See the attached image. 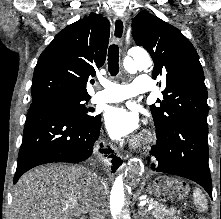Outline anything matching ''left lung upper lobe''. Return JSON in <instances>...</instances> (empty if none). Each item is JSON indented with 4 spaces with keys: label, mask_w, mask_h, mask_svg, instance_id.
<instances>
[{
    "label": "left lung upper lobe",
    "mask_w": 221,
    "mask_h": 219,
    "mask_svg": "<svg viewBox=\"0 0 221 219\" xmlns=\"http://www.w3.org/2000/svg\"><path fill=\"white\" fill-rule=\"evenodd\" d=\"M132 29L135 43L153 58L152 77L160 75L166 82L160 107L150 106L156 132L161 133L182 119L207 126L204 73L190 41L177 28L149 12H140L132 21Z\"/></svg>",
    "instance_id": "left-lung-upper-lobe-1"
}]
</instances>
